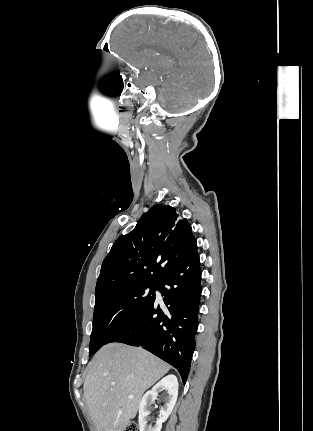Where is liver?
Segmentation results:
<instances>
[{
    "mask_svg": "<svg viewBox=\"0 0 313 431\" xmlns=\"http://www.w3.org/2000/svg\"><path fill=\"white\" fill-rule=\"evenodd\" d=\"M169 369L142 348L116 342L103 346L89 363L83 385L97 431H124L136 416L143 393Z\"/></svg>",
    "mask_w": 313,
    "mask_h": 431,
    "instance_id": "liver-1",
    "label": "liver"
}]
</instances>
